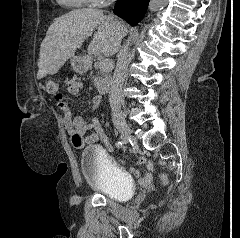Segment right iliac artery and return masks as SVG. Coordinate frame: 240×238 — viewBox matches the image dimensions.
<instances>
[{
    "label": "right iliac artery",
    "mask_w": 240,
    "mask_h": 238,
    "mask_svg": "<svg viewBox=\"0 0 240 238\" xmlns=\"http://www.w3.org/2000/svg\"><path fill=\"white\" fill-rule=\"evenodd\" d=\"M122 145H123V142H121V141H119L118 144H116V146H117L118 148L122 147Z\"/></svg>",
    "instance_id": "1"
}]
</instances>
